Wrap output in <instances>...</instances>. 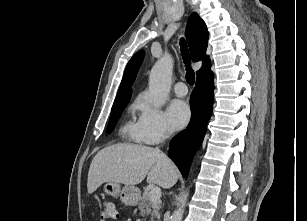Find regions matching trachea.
Here are the masks:
<instances>
[{
    "mask_svg": "<svg viewBox=\"0 0 307 221\" xmlns=\"http://www.w3.org/2000/svg\"><path fill=\"white\" fill-rule=\"evenodd\" d=\"M180 50H181V55H182V58L184 60V63H185V66H186V71H187L186 72V81L189 85H193L194 82H195V74L190 67L189 52H188L186 42L183 39L180 40Z\"/></svg>",
    "mask_w": 307,
    "mask_h": 221,
    "instance_id": "obj_1",
    "label": "trachea"
}]
</instances>
